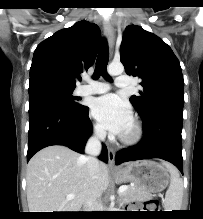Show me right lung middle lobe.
<instances>
[{"mask_svg":"<svg viewBox=\"0 0 203 219\" xmlns=\"http://www.w3.org/2000/svg\"><path fill=\"white\" fill-rule=\"evenodd\" d=\"M75 87L64 85L53 80H39L29 83V102L36 99L60 102L70 109H81L84 106L77 103L72 95Z\"/></svg>","mask_w":203,"mask_h":219,"instance_id":"obj_1","label":"right lung middle lobe"}]
</instances>
